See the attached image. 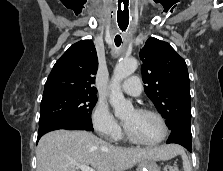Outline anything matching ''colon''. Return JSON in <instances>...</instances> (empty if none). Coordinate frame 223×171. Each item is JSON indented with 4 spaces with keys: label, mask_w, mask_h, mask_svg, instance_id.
<instances>
[{
    "label": "colon",
    "mask_w": 223,
    "mask_h": 171,
    "mask_svg": "<svg viewBox=\"0 0 223 171\" xmlns=\"http://www.w3.org/2000/svg\"><path fill=\"white\" fill-rule=\"evenodd\" d=\"M164 171H180V170H179L178 167L175 166V165H167V166L164 168Z\"/></svg>",
    "instance_id": "5ec220e1"
}]
</instances>
